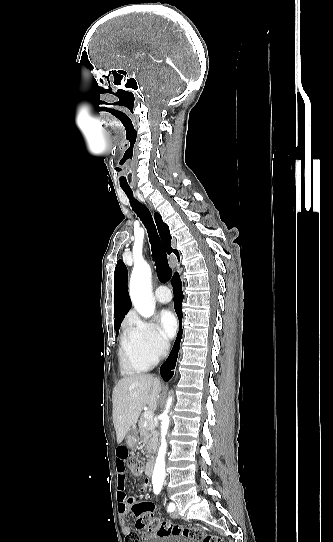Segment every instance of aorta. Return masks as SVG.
Returning a JSON list of instances; mask_svg holds the SVG:
<instances>
[{"instance_id":"762f6f07","label":"aorta","mask_w":333,"mask_h":542,"mask_svg":"<svg viewBox=\"0 0 333 542\" xmlns=\"http://www.w3.org/2000/svg\"><path fill=\"white\" fill-rule=\"evenodd\" d=\"M130 298L131 302L140 316L143 318H151L155 312V302L152 298L151 290V270L148 264L143 266H134L130 278ZM172 404V398L167 400L166 408L161 414V446L159 448L156 464L153 470L152 484L154 488H162L165 480V454L167 444L165 436L169 428L168 412Z\"/></svg>"}]
</instances>
